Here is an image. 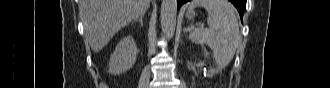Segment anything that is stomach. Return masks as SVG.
I'll return each mask as SVG.
<instances>
[{"label":"stomach","mask_w":330,"mask_h":88,"mask_svg":"<svg viewBox=\"0 0 330 88\" xmlns=\"http://www.w3.org/2000/svg\"><path fill=\"white\" fill-rule=\"evenodd\" d=\"M194 15H195V13L192 10L187 13L188 18H192Z\"/></svg>","instance_id":"obj_1"}]
</instances>
